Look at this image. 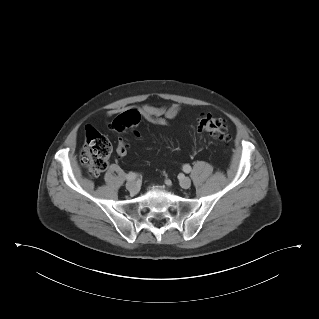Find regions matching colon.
<instances>
[{
	"label": "colon",
	"mask_w": 319,
	"mask_h": 319,
	"mask_svg": "<svg viewBox=\"0 0 319 319\" xmlns=\"http://www.w3.org/2000/svg\"><path fill=\"white\" fill-rule=\"evenodd\" d=\"M140 121V113L132 109L119 115L114 120L113 126L118 132L125 133L134 131ZM198 129L217 140L226 141L229 138L226 122L211 114H204L200 117ZM111 151L110 141L104 135L92 128L87 130L81 151V161L92 176L98 177L106 169Z\"/></svg>",
	"instance_id": "obj_1"
}]
</instances>
